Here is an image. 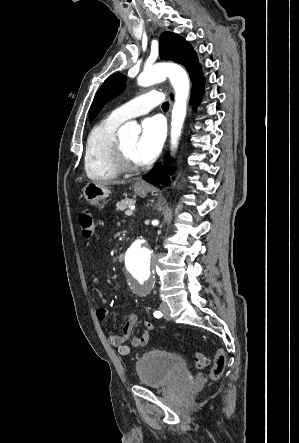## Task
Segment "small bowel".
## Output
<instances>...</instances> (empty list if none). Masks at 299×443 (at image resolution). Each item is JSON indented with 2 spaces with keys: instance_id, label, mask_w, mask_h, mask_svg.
I'll use <instances>...</instances> for the list:
<instances>
[{
  "instance_id": "c3829d8e",
  "label": "small bowel",
  "mask_w": 299,
  "mask_h": 443,
  "mask_svg": "<svg viewBox=\"0 0 299 443\" xmlns=\"http://www.w3.org/2000/svg\"><path fill=\"white\" fill-rule=\"evenodd\" d=\"M97 281L98 278H94L93 283L95 284ZM107 313L108 312L105 308H98L96 310V316L101 321L105 320ZM137 323L138 316L135 313H131L123 326L121 333L107 332V340L110 345L117 347L123 355H129L132 348L146 346L150 340V332L155 329V326L151 322H145L142 333L132 337L133 330ZM130 339V345L126 344Z\"/></svg>"
}]
</instances>
